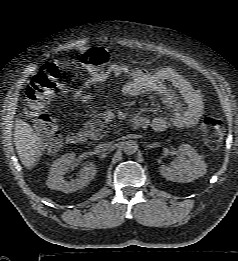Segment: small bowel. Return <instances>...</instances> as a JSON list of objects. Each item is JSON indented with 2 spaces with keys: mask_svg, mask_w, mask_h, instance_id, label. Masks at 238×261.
Listing matches in <instances>:
<instances>
[{
  "mask_svg": "<svg viewBox=\"0 0 238 261\" xmlns=\"http://www.w3.org/2000/svg\"><path fill=\"white\" fill-rule=\"evenodd\" d=\"M125 76L127 82L122 87L126 96H139L143 94H156L160 96L163 104L170 111V116L159 115L152 119H146V125H150L155 131H165L169 126L175 128L193 127L199 121L203 110V96L195 89L190 81L176 69L165 66L156 71H148L143 68H132L126 64H111L102 75H91L82 88L75 92L74 97L88 103L94 96L88 90L106 81L108 77ZM172 85L179 93L181 99L170 89Z\"/></svg>",
  "mask_w": 238,
  "mask_h": 261,
  "instance_id": "1",
  "label": "small bowel"
}]
</instances>
